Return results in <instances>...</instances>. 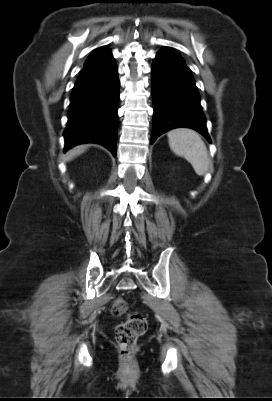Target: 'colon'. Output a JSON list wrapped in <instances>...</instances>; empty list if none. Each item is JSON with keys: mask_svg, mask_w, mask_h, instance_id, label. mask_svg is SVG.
Returning a JSON list of instances; mask_svg holds the SVG:
<instances>
[{"mask_svg": "<svg viewBox=\"0 0 272 401\" xmlns=\"http://www.w3.org/2000/svg\"><path fill=\"white\" fill-rule=\"evenodd\" d=\"M111 313L120 316L127 313L126 320L119 324L115 331V338L124 359L130 358L137 340L145 333L147 321L145 317L137 312H128V302L124 297L116 298L111 305Z\"/></svg>", "mask_w": 272, "mask_h": 401, "instance_id": "obj_1", "label": "colon"}]
</instances>
